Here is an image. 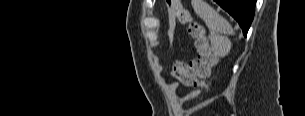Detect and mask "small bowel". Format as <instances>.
<instances>
[{"instance_id":"c3829d8e","label":"small bowel","mask_w":305,"mask_h":116,"mask_svg":"<svg viewBox=\"0 0 305 116\" xmlns=\"http://www.w3.org/2000/svg\"><path fill=\"white\" fill-rule=\"evenodd\" d=\"M197 96V92H190L188 93L184 98H183V101H189V100H192L194 99L195 97ZM205 104L204 103H201V104H198L196 105L195 107H193L191 110H190V113H194L196 111H198L199 109H201Z\"/></svg>"}]
</instances>
